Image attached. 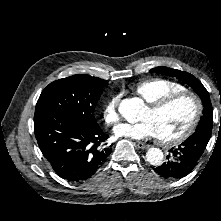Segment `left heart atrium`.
I'll use <instances>...</instances> for the list:
<instances>
[{"label":"left heart atrium","instance_id":"left-heart-atrium-1","mask_svg":"<svg viewBox=\"0 0 221 221\" xmlns=\"http://www.w3.org/2000/svg\"><path fill=\"white\" fill-rule=\"evenodd\" d=\"M114 133L118 137H127L135 140L159 137L155 125L150 120H142L137 123H120L115 126Z\"/></svg>","mask_w":221,"mask_h":221}]
</instances>
